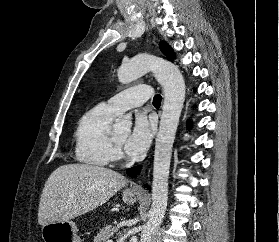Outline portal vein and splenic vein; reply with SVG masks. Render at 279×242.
<instances>
[{"mask_svg": "<svg viewBox=\"0 0 279 242\" xmlns=\"http://www.w3.org/2000/svg\"><path fill=\"white\" fill-rule=\"evenodd\" d=\"M107 242H113L112 240H107Z\"/></svg>", "mask_w": 279, "mask_h": 242, "instance_id": "18ae733b", "label": "portal vein and splenic vein"}]
</instances>
